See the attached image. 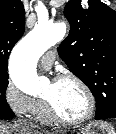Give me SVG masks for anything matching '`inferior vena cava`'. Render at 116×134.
I'll use <instances>...</instances> for the list:
<instances>
[{
    "label": "inferior vena cava",
    "mask_w": 116,
    "mask_h": 134,
    "mask_svg": "<svg viewBox=\"0 0 116 134\" xmlns=\"http://www.w3.org/2000/svg\"><path fill=\"white\" fill-rule=\"evenodd\" d=\"M20 127H21L22 130L28 131V130H31L34 126L31 122H28L26 120H22L20 122Z\"/></svg>",
    "instance_id": "inferior-vena-cava-1"
}]
</instances>
